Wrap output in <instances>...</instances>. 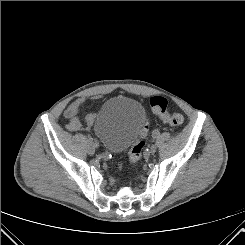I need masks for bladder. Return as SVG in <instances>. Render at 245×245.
<instances>
[{
	"label": "bladder",
	"instance_id": "obj_1",
	"mask_svg": "<svg viewBox=\"0 0 245 245\" xmlns=\"http://www.w3.org/2000/svg\"><path fill=\"white\" fill-rule=\"evenodd\" d=\"M145 123L142 105L128 97L106 101L94 118V132L106 148L121 152L141 134Z\"/></svg>",
	"mask_w": 245,
	"mask_h": 245
}]
</instances>
